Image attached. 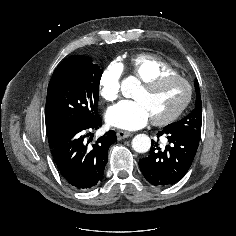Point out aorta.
<instances>
[{
    "mask_svg": "<svg viewBox=\"0 0 236 236\" xmlns=\"http://www.w3.org/2000/svg\"><path fill=\"white\" fill-rule=\"evenodd\" d=\"M150 147L151 139L146 134H138L132 140V148L138 153H146Z\"/></svg>",
    "mask_w": 236,
    "mask_h": 236,
    "instance_id": "aorta-1",
    "label": "aorta"
}]
</instances>
